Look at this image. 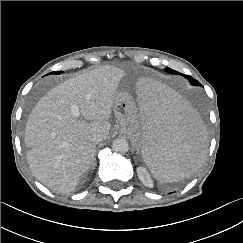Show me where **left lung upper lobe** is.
Returning a JSON list of instances; mask_svg holds the SVG:
<instances>
[{
    "label": "left lung upper lobe",
    "mask_w": 243,
    "mask_h": 243,
    "mask_svg": "<svg viewBox=\"0 0 243 243\" xmlns=\"http://www.w3.org/2000/svg\"><path fill=\"white\" fill-rule=\"evenodd\" d=\"M165 71L168 72V73H170V74H180V75H183L184 77H186L190 81V83L192 85L201 86V84L197 80L193 79L191 76L181 74V73H179V72H177L175 70H172L171 68H168V67L165 69Z\"/></svg>",
    "instance_id": "left-lung-upper-lobe-1"
}]
</instances>
